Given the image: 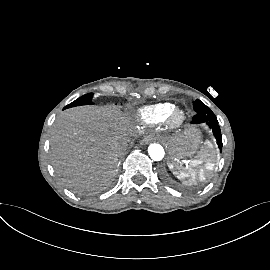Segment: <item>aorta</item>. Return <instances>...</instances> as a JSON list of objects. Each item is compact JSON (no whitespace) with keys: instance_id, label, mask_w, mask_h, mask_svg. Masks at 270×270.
Wrapping results in <instances>:
<instances>
[{"instance_id":"762f6f07","label":"aorta","mask_w":270,"mask_h":270,"mask_svg":"<svg viewBox=\"0 0 270 270\" xmlns=\"http://www.w3.org/2000/svg\"><path fill=\"white\" fill-rule=\"evenodd\" d=\"M148 153L150 158L154 161H161L165 155L163 147L156 143L149 145Z\"/></svg>"}]
</instances>
